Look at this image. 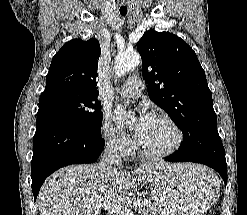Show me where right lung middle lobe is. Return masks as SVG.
Here are the masks:
<instances>
[{
	"label": "right lung middle lobe",
	"instance_id": "obj_1",
	"mask_svg": "<svg viewBox=\"0 0 247 215\" xmlns=\"http://www.w3.org/2000/svg\"><path fill=\"white\" fill-rule=\"evenodd\" d=\"M97 97L67 88L47 90L40 96L37 116L53 115L100 131L102 113Z\"/></svg>",
	"mask_w": 247,
	"mask_h": 215
}]
</instances>
